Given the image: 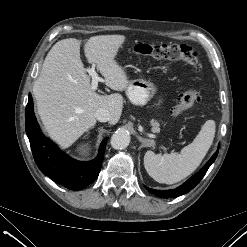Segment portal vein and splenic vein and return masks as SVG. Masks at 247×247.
<instances>
[{
    "label": "portal vein and splenic vein",
    "mask_w": 247,
    "mask_h": 247,
    "mask_svg": "<svg viewBox=\"0 0 247 247\" xmlns=\"http://www.w3.org/2000/svg\"><path fill=\"white\" fill-rule=\"evenodd\" d=\"M87 72L92 77L91 88L95 91L97 89L98 82H104V80L98 76L94 68L87 69Z\"/></svg>",
    "instance_id": "18ae733b"
}]
</instances>
